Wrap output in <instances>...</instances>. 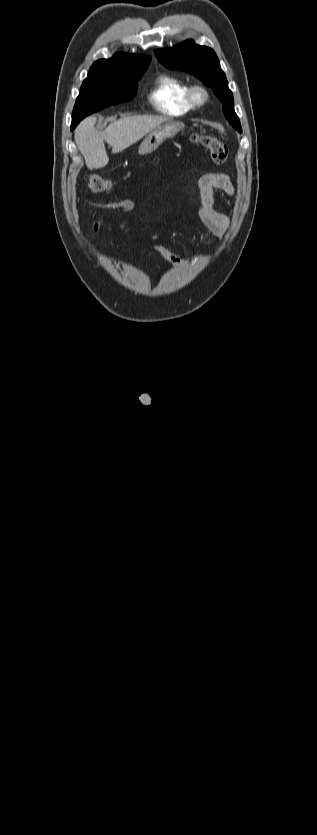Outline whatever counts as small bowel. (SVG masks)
<instances>
[{
  "label": "small bowel",
  "instance_id": "c3829d8e",
  "mask_svg": "<svg viewBox=\"0 0 317 835\" xmlns=\"http://www.w3.org/2000/svg\"><path fill=\"white\" fill-rule=\"evenodd\" d=\"M198 191L199 219L208 232L220 239L224 236L229 227V219L227 215L217 209L214 194L216 191H221L233 196L235 194L234 184L228 175L221 173H208L200 178ZM134 207L135 203L132 200H124L113 205L112 209L120 212H128L133 210ZM100 223V220L94 222L92 227V231L94 233L98 232ZM152 248L176 266H183L188 263L186 259L171 252L161 244H153Z\"/></svg>",
  "mask_w": 317,
  "mask_h": 835
}]
</instances>
